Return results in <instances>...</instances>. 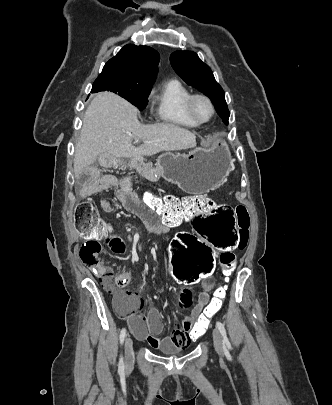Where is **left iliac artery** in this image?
I'll list each match as a JSON object with an SVG mask.
<instances>
[{"label": "left iliac artery", "instance_id": "obj_1", "mask_svg": "<svg viewBox=\"0 0 332 405\" xmlns=\"http://www.w3.org/2000/svg\"><path fill=\"white\" fill-rule=\"evenodd\" d=\"M216 326H217V328L219 329V331H220V333L222 335L224 347H226V346L229 347L230 343H229V340L227 338V334H226V330H225L224 325L221 322H216Z\"/></svg>", "mask_w": 332, "mask_h": 405}]
</instances>
